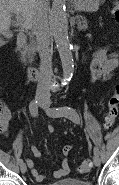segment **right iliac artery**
Instances as JSON below:
<instances>
[{
	"label": "right iliac artery",
	"mask_w": 119,
	"mask_h": 185,
	"mask_svg": "<svg viewBox=\"0 0 119 185\" xmlns=\"http://www.w3.org/2000/svg\"><path fill=\"white\" fill-rule=\"evenodd\" d=\"M29 110H30V113L33 116V118H36V116L38 114V106H37V101L36 100H33L32 102H30ZM18 163L19 164L23 163V159H19Z\"/></svg>",
	"instance_id": "82829eb1"
}]
</instances>
